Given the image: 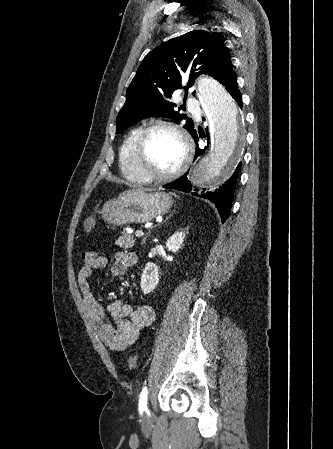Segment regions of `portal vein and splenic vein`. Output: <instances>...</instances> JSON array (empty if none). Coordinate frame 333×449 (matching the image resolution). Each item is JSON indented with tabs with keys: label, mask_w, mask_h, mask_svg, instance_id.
Returning <instances> with one entry per match:
<instances>
[{
	"label": "portal vein and splenic vein",
	"mask_w": 333,
	"mask_h": 449,
	"mask_svg": "<svg viewBox=\"0 0 333 449\" xmlns=\"http://www.w3.org/2000/svg\"><path fill=\"white\" fill-rule=\"evenodd\" d=\"M144 233L142 231H136V236H143Z\"/></svg>",
	"instance_id": "1"
}]
</instances>
